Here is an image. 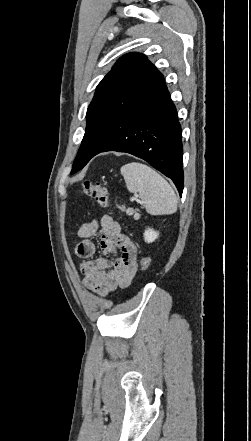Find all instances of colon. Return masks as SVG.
Returning a JSON list of instances; mask_svg holds the SVG:
<instances>
[{
	"mask_svg": "<svg viewBox=\"0 0 251 441\" xmlns=\"http://www.w3.org/2000/svg\"><path fill=\"white\" fill-rule=\"evenodd\" d=\"M82 192L93 198L94 201L102 208H109V196L107 189L99 182L85 181L82 186ZM150 265V258L144 256L140 261L142 270H147Z\"/></svg>",
	"mask_w": 251,
	"mask_h": 441,
	"instance_id": "obj_1",
	"label": "colon"
}]
</instances>
